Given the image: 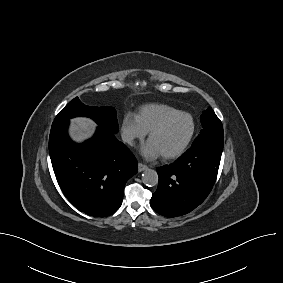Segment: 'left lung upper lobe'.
I'll list each match as a JSON object with an SVG mask.
<instances>
[{"label": "left lung upper lobe", "instance_id": "left-lung-upper-lobe-1", "mask_svg": "<svg viewBox=\"0 0 283 283\" xmlns=\"http://www.w3.org/2000/svg\"><path fill=\"white\" fill-rule=\"evenodd\" d=\"M201 124L202 130L198 137L194 140L192 146L205 143L218 148H223V126L212 108L209 107L206 111H204L201 116Z\"/></svg>", "mask_w": 283, "mask_h": 283}]
</instances>
